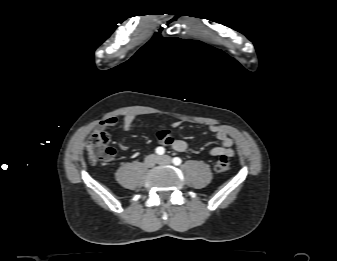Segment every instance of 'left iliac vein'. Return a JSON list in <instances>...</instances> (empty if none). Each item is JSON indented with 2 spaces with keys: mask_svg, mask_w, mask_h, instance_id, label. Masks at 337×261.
Instances as JSON below:
<instances>
[{
  "mask_svg": "<svg viewBox=\"0 0 337 261\" xmlns=\"http://www.w3.org/2000/svg\"><path fill=\"white\" fill-rule=\"evenodd\" d=\"M158 163L159 164H171L172 159L168 155H163L158 157Z\"/></svg>",
  "mask_w": 337,
  "mask_h": 261,
  "instance_id": "1",
  "label": "left iliac vein"
}]
</instances>
